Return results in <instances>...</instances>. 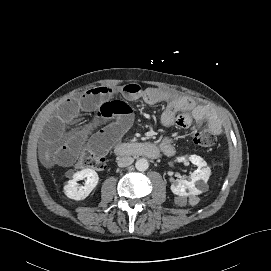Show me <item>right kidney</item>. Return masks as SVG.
<instances>
[{
	"instance_id": "ca27d5eb",
	"label": "right kidney",
	"mask_w": 271,
	"mask_h": 271,
	"mask_svg": "<svg viewBox=\"0 0 271 271\" xmlns=\"http://www.w3.org/2000/svg\"><path fill=\"white\" fill-rule=\"evenodd\" d=\"M85 179V185L78 187L77 181ZM99 181L98 174L93 169H83L74 173L71 180L64 186L65 195L73 200H84L92 190L97 186Z\"/></svg>"
}]
</instances>
